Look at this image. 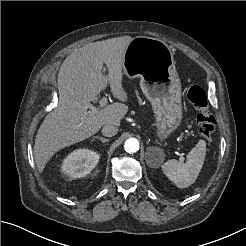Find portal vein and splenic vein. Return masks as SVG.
Listing matches in <instances>:
<instances>
[{
    "mask_svg": "<svg viewBox=\"0 0 246 246\" xmlns=\"http://www.w3.org/2000/svg\"><path fill=\"white\" fill-rule=\"evenodd\" d=\"M106 104H107V98L103 97L99 102V107L104 108L106 106ZM86 108L89 109L90 111L94 112V113H96L98 111V108L95 107L94 105L90 104V103L86 105ZM179 156H180V161L184 162L183 154H179Z\"/></svg>",
    "mask_w": 246,
    "mask_h": 246,
    "instance_id": "1",
    "label": "portal vein and splenic vein"
}]
</instances>
